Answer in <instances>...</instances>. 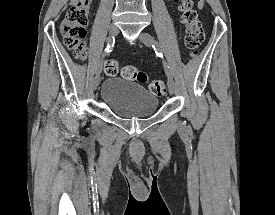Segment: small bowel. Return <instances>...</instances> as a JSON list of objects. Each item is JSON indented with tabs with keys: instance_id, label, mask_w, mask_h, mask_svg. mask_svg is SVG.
I'll return each mask as SVG.
<instances>
[{
	"instance_id": "c3829d8e",
	"label": "small bowel",
	"mask_w": 275,
	"mask_h": 215,
	"mask_svg": "<svg viewBox=\"0 0 275 215\" xmlns=\"http://www.w3.org/2000/svg\"><path fill=\"white\" fill-rule=\"evenodd\" d=\"M197 5H198V7H203L204 6V2L202 1V0H198L197 1Z\"/></svg>"
}]
</instances>
